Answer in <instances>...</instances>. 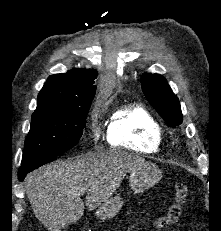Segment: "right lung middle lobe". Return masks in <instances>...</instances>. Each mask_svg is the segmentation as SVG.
<instances>
[{
  "label": "right lung middle lobe",
  "mask_w": 221,
  "mask_h": 231,
  "mask_svg": "<svg viewBox=\"0 0 221 231\" xmlns=\"http://www.w3.org/2000/svg\"><path fill=\"white\" fill-rule=\"evenodd\" d=\"M91 102L79 106L37 108L25 140L21 167L57 157L74 147L83 134Z\"/></svg>",
  "instance_id": "obj_1"
}]
</instances>
